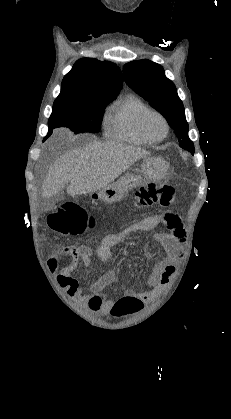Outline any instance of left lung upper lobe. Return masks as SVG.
<instances>
[{"label": "left lung upper lobe", "mask_w": 231, "mask_h": 419, "mask_svg": "<svg viewBox=\"0 0 231 419\" xmlns=\"http://www.w3.org/2000/svg\"><path fill=\"white\" fill-rule=\"evenodd\" d=\"M123 75L128 86L165 117L174 129L180 147L193 154L194 144L188 137L183 103L174 83L165 76L163 67L150 60H137L124 65Z\"/></svg>", "instance_id": "5c2ea615"}]
</instances>
